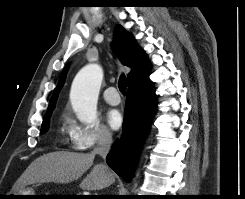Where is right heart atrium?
I'll list each match as a JSON object with an SVG mask.
<instances>
[{
    "label": "right heart atrium",
    "instance_id": "d8ad5b80",
    "mask_svg": "<svg viewBox=\"0 0 245 199\" xmlns=\"http://www.w3.org/2000/svg\"><path fill=\"white\" fill-rule=\"evenodd\" d=\"M70 142L75 150H89L97 146L108 145L112 141L111 131L102 123H71Z\"/></svg>",
    "mask_w": 245,
    "mask_h": 199
}]
</instances>
